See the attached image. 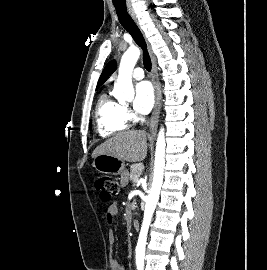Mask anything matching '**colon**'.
<instances>
[{
    "label": "colon",
    "mask_w": 267,
    "mask_h": 270,
    "mask_svg": "<svg viewBox=\"0 0 267 270\" xmlns=\"http://www.w3.org/2000/svg\"><path fill=\"white\" fill-rule=\"evenodd\" d=\"M94 185L103 202H109L120 193V183L111 176L100 174L95 177Z\"/></svg>",
    "instance_id": "obj_1"
}]
</instances>
